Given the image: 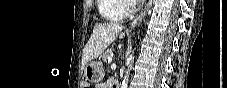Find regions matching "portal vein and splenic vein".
Returning a JSON list of instances; mask_svg holds the SVG:
<instances>
[{
    "label": "portal vein and splenic vein",
    "instance_id": "18ae733b",
    "mask_svg": "<svg viewBox=\"0 0 227 88\" xmlns=\"http://www.w3.org/2000/svg\"><path fill=\"white\" fill-rule=\"evenodd\" d=\"M112 62V56L108 57V63Z\"/></svg>",
    "mask_w": 227,
    "mask_h": 88
}]
</instances>
